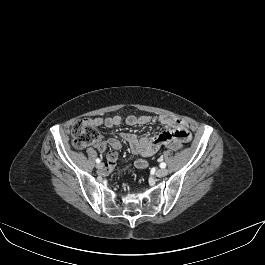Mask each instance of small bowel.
I'll return each instance as SVG.
<instances>
[{"label":"small bowel","instance_id":"c3829d8e","mask_svg":"<svg viewBox=\"0 0 265 265\" xmlns=\"http://www.w3.org/2000/svg\"><path fill=\"white\" fill-rule=\"evenodd\" d=\"M88 121L95 126L103 125L107 128H113L121 124L122 118L120 116H112L107 118L96 117L89 119ZM125 123L129 126L157 123L165 127L164 131L153 137H139L134 133L119 134L120 138L130 145L132 152L142 157L135 161V167L138 169L146 168L147 161L143 158L154 155L161 146H167L169 140L176 139L181 143H186L191 139V132L188 128L187 123L182 119L168 115H161L156 117L148 115H129L125 118ZM107 146H110L112 148V151L107 154V166L109 168H112L117 162V151L121 148V143L116 137H110L107 140L99 142L97 144V149L100 152H104Z\"/></svg>","mask_w":265,"mask_h":265}]
</instances>
